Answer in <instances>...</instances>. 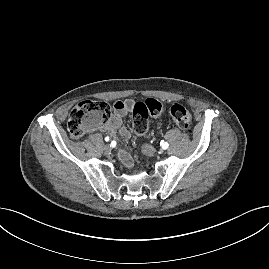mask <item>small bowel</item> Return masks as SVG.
Segmentation results:
<instances>
[{
	"label": "small bowel",
	"instance_id": "c3829d8e",
	"mask_svg": "<svg viewBox=\"0 0 269 269\" xmlns=\"http://www.w3.org/2000/svg\"><path fill=\"white\" fill-rule=\"evenodd\" d=\"M133 106L134 101L132 99L115 102L113 105V114L108 119L103 129L112 134L118 132L123 139H129L131 137V133L124 125V117L127 112L133 109ZM118 157L125 167H132V158L126 150H120Z\"/></svg>",
	"mask_w": 269,
	"mask_h": 269
}]
</instances>
